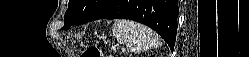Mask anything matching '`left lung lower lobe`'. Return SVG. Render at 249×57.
Returning <instances> with one entry per match:
<instances>
[{
    "instance_id": "left-lung-lower-lobe-1",
    "label": "left lung lower lobe",
    "mask_w": 249,
    "mask_h": 57,
    "mask_svg": "<svg viewBox=\"0 0 249 57\" xmlns=\"http://www.w3.org/2000/svg\"><path fill=\"white\" fill-rule=\"evenodd\" d=\"M178 14L177 0H111L102 11L86 22L99 19L134 20L159 33L173 50Z\"/></svg>"
}]
</instances>
